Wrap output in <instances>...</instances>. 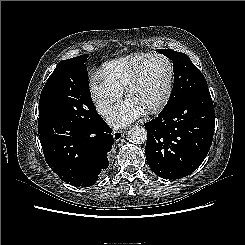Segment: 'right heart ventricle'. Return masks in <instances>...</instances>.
<instances>
[{
	"label": "right heart ventricle",
	"mask_w": 245,
	"mask_h": 245,
	"mask_svg": "<svg viewBox=\"0 0 245 245\" xmlns=\"http://www.w3.org/2000/svg\"><path fill=\"white\" fill-rule=\"evenodd\" d=\"M149 55L150 53H133L114 59L103 65L102 73L110 83L123 90Z\"/></svg>",
	"instance_id": "right-heart-ventricle-1"
}]
</instances>
